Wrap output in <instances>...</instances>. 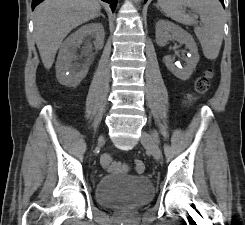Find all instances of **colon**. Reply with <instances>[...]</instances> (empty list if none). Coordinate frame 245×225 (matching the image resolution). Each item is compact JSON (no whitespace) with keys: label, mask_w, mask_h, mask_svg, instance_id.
I'll return each mask as SVG.
<instances>
[{"label":"colon","mask_w":245,"mask_h":225,"mask_svg":"<svg viewBox=\"0 0 245 225\" xmlns=\"http://www.w3.org/2000/svg\"><path fill=\"white\" fill-rule=\"evenodd\" d=\"M211 77H212V71L206 70L203 76L197 80L195 85V91L188 93L186 95L187 102L190 103L194 101L197 96L203 95L209 90ZM101 164L104 167V169L108 171H115L124 167L121 163L116 162L107 154L102 156ZM131 169L135 173H142L145 170V165L140 160H134L131 163Z\"/></svg>","instance_id":"colon-1"}]
</instances>
